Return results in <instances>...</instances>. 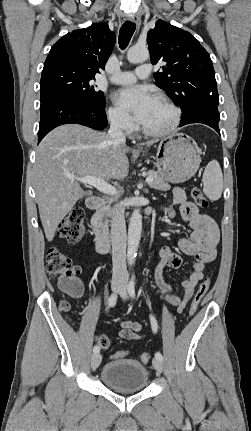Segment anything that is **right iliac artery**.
<instances>
[{"instance_id": "82829eb1", "label": "right iliac artery", "mask_w": 251, "mask_h": 431, "mask_svg": "<svg viewBox=\"0 0 251 431\" xmlns=\"http://www.w3.org/2000/svg\"><path fill=\"white\" fill-rule=\"evenodd\" d=\"M116 302H117V294H112L110 297H109V299H108V305L110 306V307H114L115 305H116ZM99 351H100V348L97 346V345H95L94 347H93V352L94 353H99Z\"/></svg>"}]
</instances>
